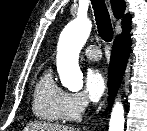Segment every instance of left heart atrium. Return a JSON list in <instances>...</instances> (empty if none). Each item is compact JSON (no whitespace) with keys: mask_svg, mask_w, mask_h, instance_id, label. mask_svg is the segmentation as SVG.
<instances>
[{"mask_svg":"<svg viewBox=\"0 0 147 131\" xmlns=\"http://www.w3.org/2000/svg\"><path fill=\"white\" fill-rule=\"evenodd\" d=\"M106 90V80L99 70H91L86 78V91L93 102L101 99Z\"/></svg>","mask_w":147,"mask_h":131,"instance_id":"left-heart-atrium-1","label":"left heart atrium"}]
</instances>
